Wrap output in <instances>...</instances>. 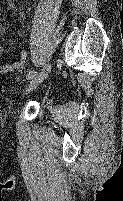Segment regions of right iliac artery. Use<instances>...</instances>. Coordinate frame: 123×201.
<instances>
[{"label":"right iliac artery","mask_w":123,"mask_h":201,"mask_svg":"<svg viewBox=\"0 0 123 201\" xmlns=\"http://www.w3.org/2000/svg\"><path fill=\"white\" fill-rule=\"evenodd\" d=\"M37 75V72L36 71H30L28 74H27V79H32L33 77H35Z\"/></svg>","instance_id":"82829eb1"}]
</instances>
